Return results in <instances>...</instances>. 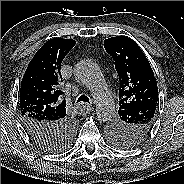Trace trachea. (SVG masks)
<instances>
[{"label": "trachea", "instance_id": "1", "mask_svg": "<svg viewBox=\"0 0 184 184\" xmlns=\"http://www.w3.org/2000/svg\"><path fill=\"white\" fill-rule=\"evenodd\" d=\"M77 102H86V103H89L90 104V101H89V98L87 97V96H85V95H81L79 98H78V100H77Z\"/></svg>", "mask_w": 184, "mask_h": 184}]
</instances>
